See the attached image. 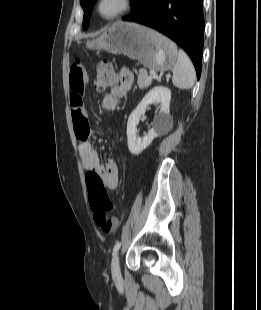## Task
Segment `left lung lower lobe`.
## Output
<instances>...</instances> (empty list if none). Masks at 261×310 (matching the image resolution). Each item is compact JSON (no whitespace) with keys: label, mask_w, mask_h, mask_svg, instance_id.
Here are the masks:
<instances>
[{"label":"left lung lower lobe","mask_w":261,"mask_h":310,"mask_svg":"<svg viewBox=\"0 0 261 310\" xmlns=\"http://www.w3.org/2000/svg\"><path fill=\"white\" fill-rule=\"evenodd\" d=\"M122 20L149 26L175 41L188 53L200 78L203 0H136L131 13Z\"/></svg>","instance_id":"left-lung-lower-lobe-1"}]
</instances>
